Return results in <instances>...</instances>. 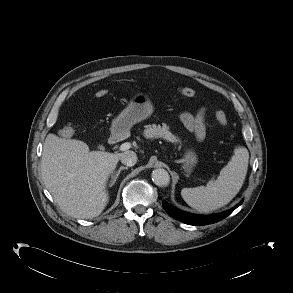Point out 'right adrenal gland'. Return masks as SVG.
<instances>
[{
	"label": "right adrenal gland",
	"mask_w": 293,
	"mask_h": 293,
	"mask_svg": "<svg viewBox=\"0 0 293 293\" xmlns=\"http://www.w3.org/2000/svg\"><path fill=\"white\" fill-rule=\"evenodd\" d=\"M125 169H128V167L121 166V167L118 169V171H117L115 174H113V175L111 176V181H110L111 183H110V186H113V185L115 184L117 178H118L119 175H120V172H121L122 170H125Z\"/></svg>",
	"instance_id": "obj_1"
}]
</instances>
